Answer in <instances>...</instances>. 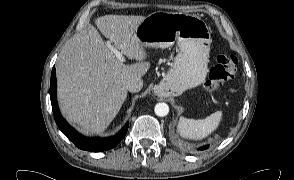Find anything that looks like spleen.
<instances>
[{
	"label": "spleen",
	"instance_id": "3e777b00",
	"mask_svg": "<svg viewBox=\"0 0 294 180\" xmlns=\"http://www.w3.org/2000/svg\"><path fill=\"white\" fill-rule=\"evenodd\" d=\"M221 118V111H217L205 119L195 120L181 117L177 125V131L184 138L201 140L217 129Z\"/></svg>",
	"mask_w": 294,
	"mask_h": 180
}]
</instances>
